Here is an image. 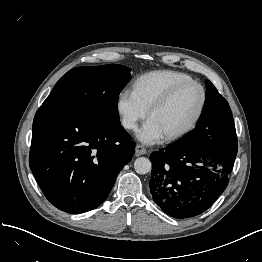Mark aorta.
I'll return each instance as SVG.
<instances>
[{
	"label": "aorta",
	"instance_id": "762f6f07",
	"mask_svg": "<svg viewBox=\"0 0 262 262\" xmlns=\"http://www.w3.org/2000/svg\"><path fill=\"white\" fill-rule=\"evenodd\" d=\"M151 167V161L146 157H139L134 162V169L138 174H147Z\"/></svg>",
	"mask_w": 262,
	"mask_h": 262
}]
</instances>
